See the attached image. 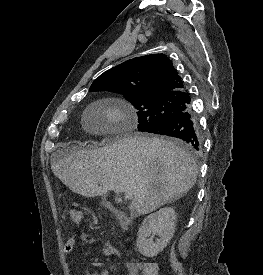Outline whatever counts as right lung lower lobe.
Instances as JSON below:
<instances>
[{
    "label": "right lung lower lobe",
    "mask_w": 263,
    "mask_h": 275,
    "mask_svg": "<svg viewBox=\"0 0 263 275\" xmlns=\"http://www.w3.org/2000/svg\"><path fill=\"white\" fill-rule=\"evenodd\" d=\"M148 132L179 138L196 150L201 148L198 120L190 109L174 116Z\"/></svg>",
    "instance_id": "right-lung-lower-lobe-1"
}]
</instances>
